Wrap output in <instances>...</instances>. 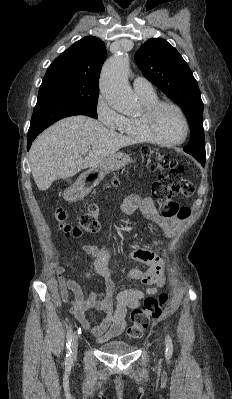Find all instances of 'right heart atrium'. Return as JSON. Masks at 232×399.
<instances>
[{
  "label": "right heart atrium",
  "mask_w": 232,
  "mask_h": 399,
  "mask_svg": "<svg viewBox=\"0 0 232 399\" xmlns=\"http://www.w3.org/2000/svg\"><path fill=\"white\" fill-rule=\"evenodd\" d=\"M109 104L124 103H105V96H101L95 108L96 118L101 120V125H109V129H115L122 120L123 115L114 111Z\"/></svg>",
  "instance_id": "1"
}]
</instances>
